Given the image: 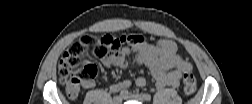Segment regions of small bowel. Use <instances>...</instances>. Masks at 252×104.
Listing matches in <instances>:
<instances>
[{
    "mask_svg": "<svg viewBox=\"0 0 252 104\" xmlns=\"http://www.w3.org/2000/svg\"><path fill=\"white\" fill-rule=\"evenodd\" d=\"M132 53L135 55L137 64L144 65L149 69L158 88L178 87L182 75L192 71L193 68L190 62L177 54V45L169 39H160L156 44L143 42L135 46L133 50L124 47L104 59L102 63L106 67L127 68ZM86 63L91 64L88 61ZM135 84L137 87H144L146 79L138 77ZM130 85V80H123L110 85L109 89L111 92L117 93L126 90ZM94 86V78L81 83L83 89H91Z\"/></svg>",
    "mask_w": 252,
    "mask_h": 104,
    "instance_id": "small-bowel-1",
    "label": "small bowel"
}]
</instances>
